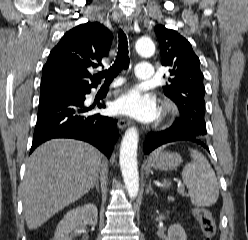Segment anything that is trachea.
<instances>
[{"mask_svg": "<svg viewBox=\"0 0 248 240\" xmlns=\"http://www.w3.org/2000/svg\"><path fill=\"white\" fill-rule=\"evenodd\" d=\"M119 45L116 60L114 64L105 71L99 72L97 74L98 78H105V84H109L112 80L120 73L122 69H128L129 67V50H128V40L126 34L123 30L119 31Z\"/></svg>", "mask_w": 248, "mask_h": 240, "instance_id": "trachea-1", "label": "trachea"}]
</instances>
